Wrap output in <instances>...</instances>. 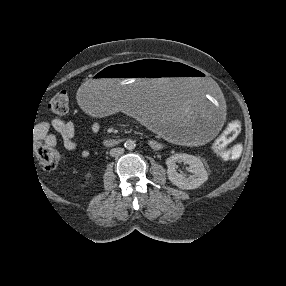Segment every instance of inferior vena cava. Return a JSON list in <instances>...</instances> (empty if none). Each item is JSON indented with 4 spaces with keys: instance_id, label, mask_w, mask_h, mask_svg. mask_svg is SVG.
Masks as SVG:
<instances>
[{
    "instance_id": "602c4592",
    "label": "inferior vena cava",
    "mask_w": 286,
    "mask_h": 286,
    "mask_svg": "<svg viewBox=\"0 0 286 286\" xmlns=\"http://www.w3.org/2000/svg\"><path fill=\"white\" fill-rule=\"evenodd\" d=\"M123 153H124L123 148H113L110 150V156H112V157L121 156Z\"/></svg>"
}]
</instances>
